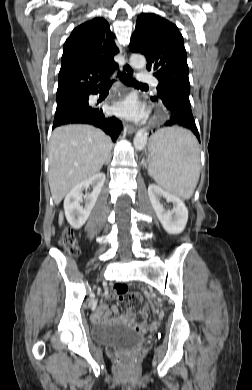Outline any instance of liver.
Wrapping results in <instances>:
<instances>
[{"instance_id":"6515ba94","label":"liver","mask_w":252,"mask_h":390,"mask_svg":"<svg viewBox=\"0 0 252 390\" xmlns=\"http://www.w3.org/2000/svg\"><path fill=\"white\" fill-rule=\"evenodd\" d=\"M112 141L89 125L56 128L49 143V186L58 205L75 186L97 174L110 158ZM63 222L60 215L59 224Z\"/></svg>"}]
</instances>
